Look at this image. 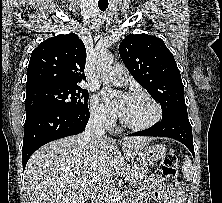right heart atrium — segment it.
Segmentation results:
<instances>
[{"label": "right heart atrium", "mask_w": 222, "mask_h": 203, "mask_svg": "<svg viewBox=\"0 0 222 203\" xmlns=\"http://www.w3.org/2000/svg\"><path fill=\"white\" fill-rule=\"evenodd\" d=\"M90 114L94 121L107 126L111 125L115 118L113 112L100 103L96 97L91 98Z\"/></svg>", "instance_id": "obj_1"}]
</instances>
